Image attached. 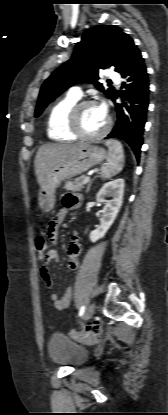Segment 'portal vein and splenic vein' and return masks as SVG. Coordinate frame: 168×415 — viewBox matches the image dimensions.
<instances>
[{"instance_id": "1", "label": "portal vein and splenic vein", "mask_w": 168, "mask_h": 415, "mask_svg": "<svg viewBox=\"0 0 168 415\" xmlns=\"http://www.w3.org/2000/svg\"><path fill=\"white\" fill-rule=\"evenodd\" d=\"M89 181H90V177H89V176H87V177H85V179H84L83 183H84V184H86V183H88Z\"/></svg>"}]
</instances>
